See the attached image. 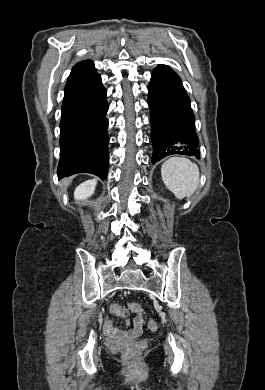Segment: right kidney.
Masks as SVG:
<instances>
[{
    "instance_id": "1",
    "label": "right kidney",
    "mask_w": 265,
    "mask_h": 390,
    "mask_svg": "<svg viewBox=\"0 0 265 390\" xmlns=\"http://www.w3.org/2000/svg\"><path fill=\"white\" fill-rule=\"evenodd\" d=\"M97 184L96 179L87 180L80 184L74 191V197L76 200H84L90 197L94 191Z\"/></svg>"
}]
</instances>
